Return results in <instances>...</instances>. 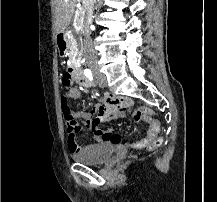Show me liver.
Masks as SVG:
<instances>
[{"instance_id":"liver-1","label":"liver","mask_w":217,"mask_h":202,"mask_svg":"<svg viewBox=\"0 0 217 202\" xmlns=\"http://www.w3.org/2000/svg\"><path fill=\"white\" fill-rule=\"evenodd\" d=\"M77 0H55L57 14V34H64L75 12Z\"/></svg>"}]
</instances>
